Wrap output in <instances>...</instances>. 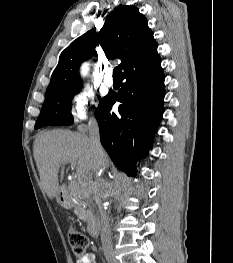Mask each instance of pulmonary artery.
Segmentation results:
<instances>
[{"instance_id": "e3ab8cb5", "label": "pulmonary artery", "mask_w": 233, "mask_h": 263, "mask_svg": "<svg viewBox=\"0 0 233 263\" xmlns=\"http://www.w3.org/2000/svg\"><path fill=\"white\" fill-rule=\"evenodd\" d=\"M104 83L108 87H111L113 85L114 80H113V77H112V70L111 69H107L106 70V74L104 76Z\"/></svg>"}]
</instances>
